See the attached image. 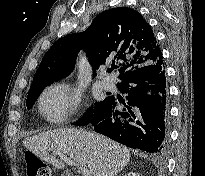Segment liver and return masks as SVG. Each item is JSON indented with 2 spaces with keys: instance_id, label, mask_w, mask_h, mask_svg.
<instances>
[{
  "instance_id": "obj_1",
  "label": "liver",
  "mask_w": 205,
  "mask_h": 176,
  "mask_svg": "<svg viewBox=\"0 0 205 176\" xmlns=\"http://www.w3.org/2000/svg\"><path fill=\"white\" fill-rule=\"evenodd\" d=\"M24 146L40 159L63 169L65 163L48 151L68 155L78 165L88 168L91 176H117L130 161L127 147L96 133L60 128L23 140Z\"/></svg>"
}]
</instances>
